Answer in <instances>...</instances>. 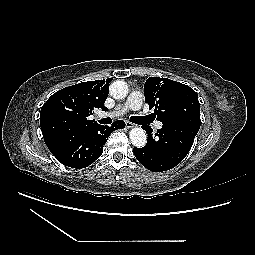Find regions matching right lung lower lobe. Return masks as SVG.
<instances>
[{
    "mask_svg": "<svg viewBox=\"0 0 255 255\" xmlns=\"http://www.w3.org/2000/svg\"><path fill=\"white\" fill-rule=\"evenodd\" d=\"M125 122L115 121L111 126L96 125L83 130L51 152L65 166L85 168L97 160L109 135L117 128H124Z\"/></svg>",
    "mask_w": 255,
    "mask_h": 255,
    "instance_id": "right-lung-lower-lobe-1",
    "label": "right lung lower lobe"
}]
</instances>
